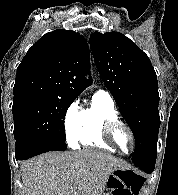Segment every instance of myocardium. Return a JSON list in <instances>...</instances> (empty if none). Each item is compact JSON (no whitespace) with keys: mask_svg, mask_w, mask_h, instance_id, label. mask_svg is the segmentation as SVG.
Instances as JSON below:
<instances>
[{"mask_svg":"<svg viewBox=\"0 0 178 195\" xmlns=\"http://www.w3.org/2000/svg\"><path fill=\"white\" fill-rule=\"evenodd\" d=\"M124 128L127 130V132L129 133L130 137H131V140H132V147H131V150L129 152H124L123 150H121L120 148L117 147V145L115 144V141H114V135H115V132L118 128ZM103 139L104 141L109 145L111 146L115 151L121 153V154H124V155H127V154H130L134 151L135 149V146H136V137H135V133L134 131L132 130V128L125 122L119 120V119H114V120H110L108 121L104 128H103Z\"/></svg>","mask_w":178,"mask_h":195,"instance_id":"myocardium-1","label":"myocardium"}]
</instances>
